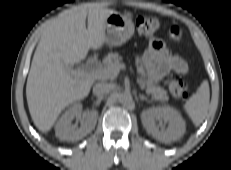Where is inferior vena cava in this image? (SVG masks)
Listing matches in <instances>:
<instances>
[{
	"label": "inferior vena cava",
	"mask_w": 231,
	"mask_h": 170,
	"mask_svg": "<svg viewBox=\"0 0 231 170\" xmlns=\"http://www.w3.org/2000/svg\"><path fill=\"white\" fill-rule=\"evenodd\" d=\"M112 89V86L108 83H97L93 87V93L96 96H103L108 94Z\"/></svg>",
	"instance_id": "1"
}]
</instances>
